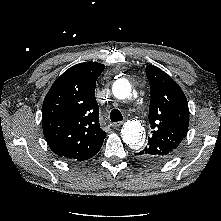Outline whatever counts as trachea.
Masks as SVG:
<instances>
[{
  "label": "trachea",
  "mask_w": 221,
  "mask_h": 221,
  "mask_svg": "<svg viewBox=\"0 0 221 221\" xmlns=\"http://www.w3.org/2000/svg\"><path fill=\"white\" fill-rule=\"evenodd\" d=\"M110 119L112 122H118L123 120V116L118 109H113L110 113Z\"/></svg>",
  "instance_id": "1"
}]
</instances>
